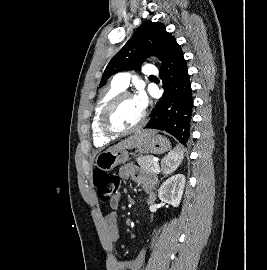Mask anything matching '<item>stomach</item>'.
Returning a JSON list of instances; mask_svg holds the SVG:
<instances>
[{
  "mask_svg": "<svg viewBox=\"0 0 267 270\" xmlns=\"http://www.w3.org/2000/svg\"><path fill=\"white\" fill-rule=\"evenodd\" d=\"M171 149L169 140L158 134L151 135L142 146L138 147L141 154H163ZM129 160V152L126 149L103 151L95 159V165L103 170L110 171Z\"/></svg>",
  "mask_w": 267,
  "mask_h": 270,
  "instance_id": "stomach-1",
  "label": "stomach"
}]
</instances>
